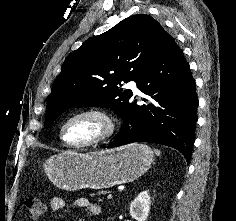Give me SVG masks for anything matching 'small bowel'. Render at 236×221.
I'll use <instances>...</instances> for the list:
<instances>
[{"instance_id": "c3829d8e", "label": "small bowel", "mask_w": 236, "mask_h": 221, "mask_svg": "<svg viewBox=\"0 0 236 221\" xmlns=\"http://www.w3.org/2000/svg\"><path fill=\"white\" fill-rule=\"evenodd\" d=\"M73 206L77 208H86L93 216L101 214L102 208L98 203L91 202L87 198L79 197L74 200ZM65 207V201L61 197H53L50 200V209L53 212L62 210Z\"/></svg>"}]
</instances>
